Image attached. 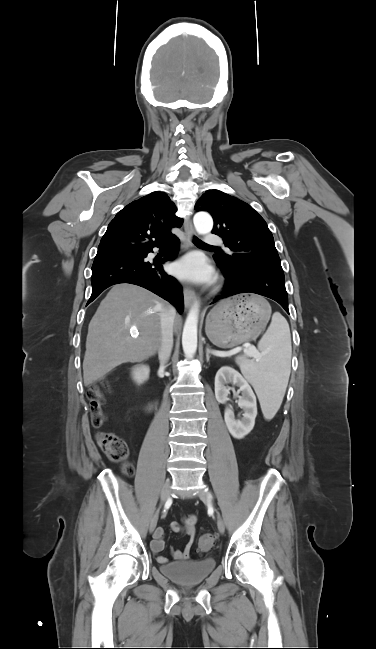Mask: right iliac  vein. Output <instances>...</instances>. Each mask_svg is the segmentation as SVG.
<instances>
[{"label": "right iliac vein", "instance_id": "right-iliac-vein-1", "mask_svg": "<svg viewBox=\"0 0 376 649\" xmlns=\"http://www.w3.org/2000/svg\"><path fill=\"white\" fill-rule=\"evenodd\" d=\"M170 491H171V483H170L169 480H167V481L164 483V485H163V487H162V490H161V502H162V503H164V502H166V501L168 500V498H169V496H170ZM157 521H158V512H156V513L153 515V517H152V519H151V521H150L149 530H150L151 533H152V532L154 531V529L156 528V526H157Z\"/></svg>", "mask_w": 376, "mask_h": 649}]
</instances>
